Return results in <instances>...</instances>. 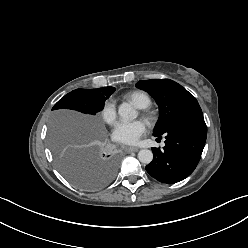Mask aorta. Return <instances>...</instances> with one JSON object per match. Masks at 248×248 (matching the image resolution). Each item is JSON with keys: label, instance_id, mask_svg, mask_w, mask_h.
<instances>
[{"label": "aorta", "instance_id": "obj_1", "mask_svg": "<svg viewBox=\"0 0 248 248\" xmlns=\"http://www.w3.org/2000/svg\"><path fill=\"white\" fill-rule=\"evenodd\" d=\"M118 114L126 121L133 120L138 116V112L128 103H122L119 106ZM138 159L141 163L149 164L153 159V153L149 149H142L138 153Z\"/></svg>", "mask_w": 248, "mask_h": 248}]
</instances>
